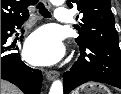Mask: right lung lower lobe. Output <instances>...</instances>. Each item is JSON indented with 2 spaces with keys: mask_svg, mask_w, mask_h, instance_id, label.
<instances>
[{
  "mask_svg": "<svg viewBox=\"0 0 121 94\" xmlns=\"http://www.w3.org/2000/svg\"><path fill=\"white\" fill-rule=\"evenodd\" d=\"M25 19L27 17L1 25V79L15 84L25 94H39L42 83L41 71L26 66L19 60L17 53H9L12 46L6 45L8 37L15 32V28H20Z\"/></svg>",
  "mask_w": 121,
  "mask_h": 94,
  "instance_id": "obj_1",
  "label": "right lung lower lobe"
}]
</instances>
